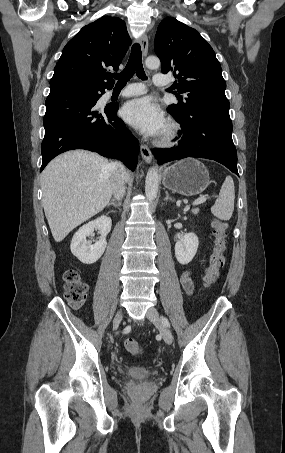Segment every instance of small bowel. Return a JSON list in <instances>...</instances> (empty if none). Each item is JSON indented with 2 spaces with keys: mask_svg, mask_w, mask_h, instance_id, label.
<instances>
[{
  "mask_svg": "<svg viewBox=\"0 0 285 453\" xmlns=\"http://www.w3.org/2000/svg\"><path fill=\"white\" fill-rule=\"evenodd\" d=\"M180 283L187 295H191L194 290V283L192 280V271L186 270L180 277Z\"/></svg>",
  "mask_w": 285,
  "mask_h": 453,
  "instance_id": "c3829d8e",
  "label": "small bowel"
}]
</instances>
